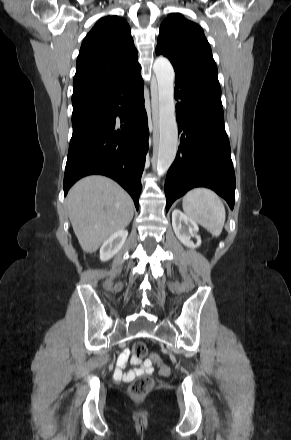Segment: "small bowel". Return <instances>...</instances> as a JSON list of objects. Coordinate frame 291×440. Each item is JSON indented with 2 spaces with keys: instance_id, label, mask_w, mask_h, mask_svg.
Wrapping results in <instances>:
<instances>
[{
  "instance_id": "1",
  "label": "small bowel",
  "mask_w": 291,
  "mask_h": 440,
  "mask_svg": "<svg viewBox=\"0 0 291 440\" xmlns=\"http://www.w3.org/2000/svg\"><path fill=\"white\" fill-rule=\"evenodd\" d=\"M129 361L133 365H135L136 367L131 370L125 371L126 365L128 364ZM153 370H154L153 364L150 360L141 361V360L135 359V358L130 359V351L125 350L119 356V359L117 362V370H116L115 375L117 377H120L123 379H130L135 376H141L144 374H151L153 372Z\"/></svg>"
}]
</instances>
